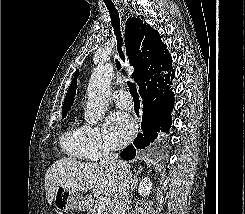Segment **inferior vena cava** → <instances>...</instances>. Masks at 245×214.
I'll use <instances>...</instances> for the list:
<instances>
[{
  "label": "inferior vena cava",
  "instance_id": "602c4592",
  "mask_svg": "<svg viewBox=\"0 0 245 214\" xmlns=\"http://www.w3.org/2000/svg\"><path fill=\"white\" fill-rule=\"evenodd\" d=\"M102 155L103 158L100 161V165L116 174V182L112 194V214H126L130 184L128 166L118 159L116 153H111L106 147L102 148Z\"/></svg>",
  "mask_w": 245,
  "mask_h": 214
}]
</instances>
